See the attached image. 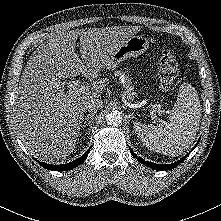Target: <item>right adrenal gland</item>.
Here are the masks:
<instances>
[{"label":"right adrenal gland","instance_id":"right-adrenal-gland-1","mask_svg":"<svg viewBox=\"0 0 221 221\" xmlns=\"http://www.w3.org/2000/svg\"><path fill=\"white\" fill-rule=\"evenodd\" d=\"M95 114H96V112H92V113L88 114V115L85 117L84 122H83V124L81 125V127L84 128L85 125L87 124V122H88V124H89V127H91V126H92V123H93V117H94Z\"/></svg>","mask_w":221,"mask_h":221}]
</instances>
